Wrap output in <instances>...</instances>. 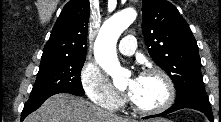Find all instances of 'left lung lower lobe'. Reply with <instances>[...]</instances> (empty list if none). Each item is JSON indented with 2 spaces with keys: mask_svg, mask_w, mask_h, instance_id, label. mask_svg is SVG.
<instances>
[{
  "mask_svg": "<svg viewBox=\"0 0 221 122\" xmlns=\"http://www.w3.org/2000/svg\"><path fill=\"white\" fill-rule=\"evenodd\" d=\"M183 108H191L201 111L208 117L210 121H213L212 109L207 94L190 95L188 97H185L181 100L176 101L173 106H171L163 113L154 116L145 117V119L151 117L163 116Z\"/></svg>",
  "mask_w": 221,
  "mask_h": 122,
  "instance_id": "obj_1",
  "label": "left lung lower lobe"
}]
</instances>
